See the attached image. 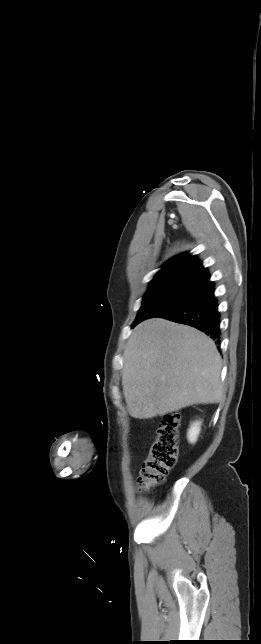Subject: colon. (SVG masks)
I'll list each match as a JSON object with an SVG mask.
<instances>
[{
  "label": "colon",
  "mask_w": 261,
  "mask_h": 644,
  "mask_svg": "<svg viewBox=\"0 0 261 644\" xmlns=\"http://www.w3.org/2000/svg\"><path fill=\"white\" fill-rule=\"evenodd\" d=\"M180 414H166L159 423L157 436L144 460L137 481L138 489L149 491L161 484L174 467L178 455Z\"/></svg>",
  "instance_id": "1"
}]
</instances>
